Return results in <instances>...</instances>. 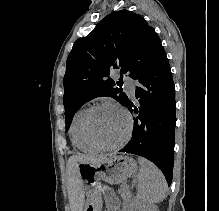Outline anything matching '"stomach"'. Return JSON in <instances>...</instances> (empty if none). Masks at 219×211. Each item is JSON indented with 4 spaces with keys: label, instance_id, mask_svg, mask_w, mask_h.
<instances>
[{
    "label": "stomach",
    "instance_id": "1",
    "mask_svg": "<svg viewBox=\"0 0 219 211\" xmlns=\"http://www.w3.org/2000/svg\"><path fill=\"white\" fill-rule=\"evenodd\" d=\"M136 170L137 162L133 158L117 154L110 155L99 163H79L78 176L88 191V200L83 211L99 209L101 199L96 192L101 180L109 184H119Z\"/></svg>",
    "mask_w": 219,
    "mask_h": 211
}]
</instances>
